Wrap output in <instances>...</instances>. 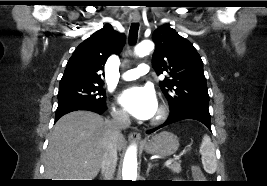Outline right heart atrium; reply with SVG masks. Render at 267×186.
<instances>
[{
	"label": "right heart atrium",
	"instance_id": "right-heart-atrium-1",
	"mask_svg": "<svg viewBox=\"0 0 267 186\" xmlns=\"http://www.w3.org/2000/svg\"><path fill=\"white\" fill-rule=\"evenodd\" d=\"M112 117L119 123H126L128 121L126 113L122 109L117 107L112 108Z\"/></svg>",
	"mask_w": 267,
	"mask_h": 186
}]
</instances>
